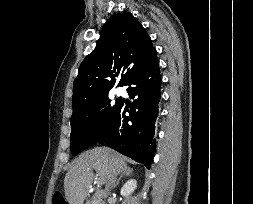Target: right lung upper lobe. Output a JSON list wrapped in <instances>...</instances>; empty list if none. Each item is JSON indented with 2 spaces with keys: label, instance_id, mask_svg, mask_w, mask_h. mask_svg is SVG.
<instances>
[{
  "label": "right lung upper lobe",
  "instance_id": "obj_1",
  "mask_svg": "<svg viewBox=\"0 0 253 204\" xmlns=\"http://www.w3.org/2000/svg\"><path fill=\"white\" fill-rule=\"evenodd\" d=\"M153 50L151 38L131 13L112 15L95 49L79 67L73 84V109L108 94L119 74L118 85H125Z\"/></svg>",
  "mask_w": 253,
  "mask_h": 204
}]
</instances>
